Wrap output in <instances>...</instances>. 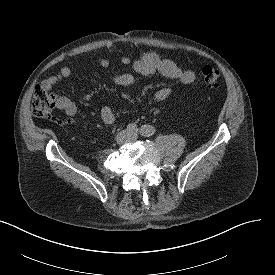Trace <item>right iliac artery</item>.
<instances>
[{"instance_id":"obj_1","label":"right iliac artery","mask_w":275,"mask_h":275,"mask_svg":"<svg viewBox=\"0 0 275 275\" xmlns=\"http://www.w3.org/2000/svg\"><path fill=\"white\" fill-rule=\"evenodd\" d=\"M127 131H128L129 133L136 134V133L138 132L137 125H136V124H133V123L129 124V125L127 126Z\"/></svg>"}]
</instances>
